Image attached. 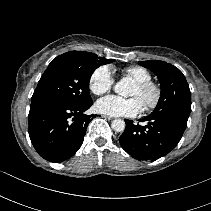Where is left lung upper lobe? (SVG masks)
<instances>
[{
  "label": "left lung upper lobe",
  "instance_id": "obj_1",
  "mask_svg": "<svg viewBox=\"0 0 211 211\" xmlns=\"http://www.w3.org/2000/svg\"><path fill=\"white\" fill-rule=\"evenodd\" d=\"M139 65L153 71L161 87V96L152 113L170 112L188 119L191 93L183 73L175 66L159 60L140 61Z\"/></svg>",
  "mask_w": 211,
  "mask_h": 211
}]
</instances>
